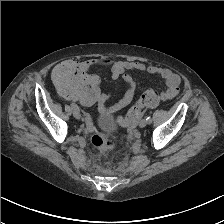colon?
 Returning <instances> with one entry per match:
<instances>
[{
    "instance_id": "colon-1",
    "label": "colon",
    "mask_w": 224,
    "mask_h": 224,
    "mask_svg": "<svg viewBox=\"0 0 224 224\" xmlns=\"http://www.w3.org/2000/svg\"><path fill=\"white\" fill-rule=\"evenodd\" d=\"M52 78L58 86L62 96L69 101L89 105L99 98L98 78L90 73L78 62L65 61L58 64L52 72ZM159 101V95L154 91L146 92L130 109L125 118H119L118 122L123 127H131L135 124L140 112L154 106ZM91 142L102 152L110 151L115 143L107 133H96Z\"/></svg>"
}]
</instances>
